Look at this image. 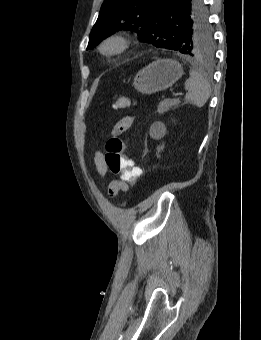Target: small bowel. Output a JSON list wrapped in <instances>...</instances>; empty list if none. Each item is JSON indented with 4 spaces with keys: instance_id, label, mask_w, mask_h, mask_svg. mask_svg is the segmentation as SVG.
Masks as SVG:
<instances>
[{
    "instance_id": "1",
    "label": "small bowel",
    "mask_w": 261,
    "mask_h": 340,
    "mask_svg": "<svg viewBox=\"0 0 261 340\" xmlns=\"http://www.w3.org/2000/svg\"><path fill=\"white\" fill-rule=\"evenodd\" d=\"M134 118L132 116H124L114 125L112 134L120 135L131 128L133 125ZM93 163L95 165L96 171L101 177H104L108 171V166L105 162L104 155L97 151L93 156ZM129 185L121 180H114L110 182L108 186V193L111 197L118 196L121 192H126Z\"/></svg>"
}]
</instances>
